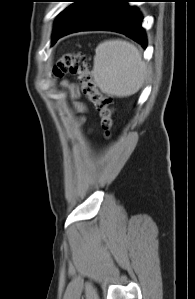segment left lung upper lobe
<instances>
[{
    "instance_id": "5c2ea615",
    "label": "left lung upper lobe",
    "mask_w": 195,
    "mask_h": 299,
    "mask_svg": "<svg viewBox=\"0 0 195 299\" xmlns=\"http://www.w3.org/2000/svg\"><path fill=\"white\" fill-rule=\"evenodd\" d=\"M73 3L69 5L57 18L54 33L58 32L63 27L69 25L80 13L82 8L88 0H72Z\"/></svg>"
}]
</instances>
